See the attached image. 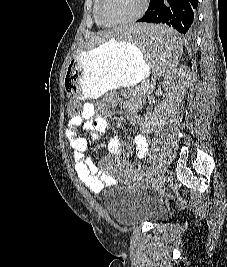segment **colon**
<instances>
[{"mask_svg": "<svg viewBox=\"0 0 227 267\" xmlns=\"http://www.w3.org/2000/svg\"><path fill=\"white\" fill-rule=\"evenodd\" d=\"M79 110H81V105H77V101H72L68 105V111H66V116L79 115Z\"/></svg>", "mask_w": 227, "mask_h": 267, "instance_id": "obj_1", "label": "colon"}]
</instances>
